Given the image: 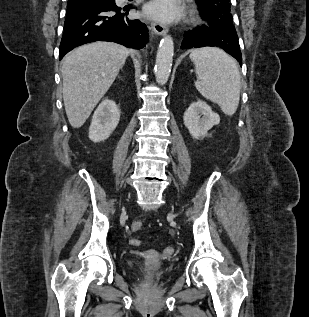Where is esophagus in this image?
I'll list each match as a JSON object with an SVG mask.
<instances>
[{"label": "esophagus", "mask_w": 309, "mask_h": 317, "mask_svg": "<svg viewBox=\"0 0 309 317\" xmlns=\"http://www.w3.org/2000/svg\"><path fill=\"white\" fill-rule=\"evenodd\" d=\"M151 30L157 35H164L167 33L168 28L166 25L159 22H151Z\"/></svg>", "instance_id": "esophagus-1"}]
</instances>
